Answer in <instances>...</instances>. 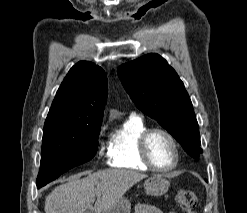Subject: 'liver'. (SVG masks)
<instances>
[{
	"mask_svg": "<svg viewBox=\"0 0 247 213\" xmlns=\"http://www.w3.org/2000/svg\"><path fill=\"white\" fill-rule=\"evenodd\" d=\"M72 177L55 187L45 199V213H101L117 203L133 185L147 177L131 170H102ZM97 198L94 207L92 203Z\"/></svg>",
	"mask_w": 247,
	"mask_h": 213,
	"instance_id": "1",
	"label": "liver"
}]
</instances>
